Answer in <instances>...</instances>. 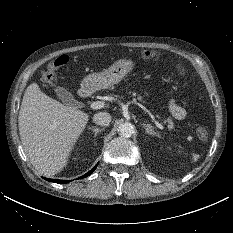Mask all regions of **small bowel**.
<instances>
[{"label": "small bowel", "mask_w": 233, "mask_h": 233, "mask_svg": "<svg viewBox=\"0 0 233 233\" xmlns=\"http://www.w3.org/2000/svg\"><path fill=\"white\" fill-rule=\"evenodd\" d=\"M168 108L175 119L182 120L188 115V110L177 104L173 99L169 101Z\"/></svg>", "instance_id": "1"}]
</instances>
